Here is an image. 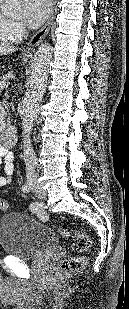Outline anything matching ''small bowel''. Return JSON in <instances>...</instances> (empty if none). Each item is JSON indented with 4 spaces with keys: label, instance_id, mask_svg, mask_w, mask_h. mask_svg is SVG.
<instances>
[{
    "label": "small bowel",
    "instance_id": "c3829d8e",
    "mask_svg": "<svg viewBox=\"0 0 129 309\" xmlns=\"http://www.w3.org/2000/svg\"><path fill=\"white\" fill-rule=\"evenodd\" d=\"M14 156L10 149L0 146V187L9 185L12 182L14 174Z\"/></svg>",
    "mask_w": 129,
    "mask_h": 309
}]
</instances>
